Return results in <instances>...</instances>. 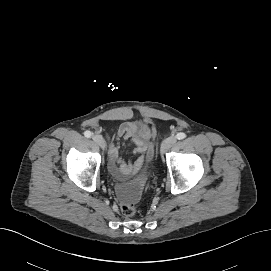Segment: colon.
Wrapping results in <instances>:
<instances>
[{"label": "colon", "mask_w": 271, "mask_h": 271, "mask_svg": "<svg viewBox=\"0 0 271 271\" xmlns=\"http://www.w3.org/2000/svg\"><path fill=\"white\" fill-rule=\"evenodd\" d=\"M121 212L126 217H132L137 213V208L134 204L125 203L121 205Z\"/></svg>", "instance_id": "obj_1"}]
</instances>
